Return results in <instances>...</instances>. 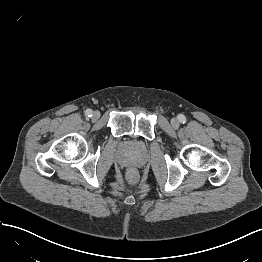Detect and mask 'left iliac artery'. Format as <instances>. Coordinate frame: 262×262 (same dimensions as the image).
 I'll return each mask as SVG.
<instances>
[{
    "label": "left iliac artery",
    "instance_id": "obj_1",
    "mask_svg": "<svg viewBox=\"0 0 262 262\" xmlns=\"http://www.w3.org/2000/svg\"><path fill=\"white\" fill-rule=\"evenodd\" d=\"M178 119H179V121H180L181 123H185V122H186V118H185V116L182 115V114H180V115L178 116Z\"/></svg>",
    "mask_w": 262,
    "mask_h": 262
}]
</instances>
